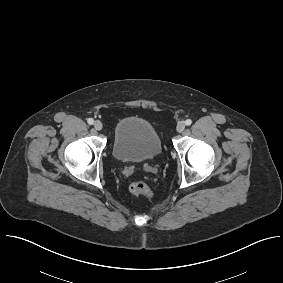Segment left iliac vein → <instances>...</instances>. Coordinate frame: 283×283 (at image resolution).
<instances>
[{
	"label": "left iliac vein",
	"instance_id": "left-iliac-vein-1",
	"mask_svg": "<svg viewBox=\"0 0 283 283\" xmlns=\"http://www.w3.org/2000/svg\"><path fill=\"white\" fill-rule=\"evenodd\" d=\"M185 129V123L184 122H179L176 126V130L181 133Z\"/></svg>",
	"mask_w": 283,
	"mask_h": 283
}]
</instances>
